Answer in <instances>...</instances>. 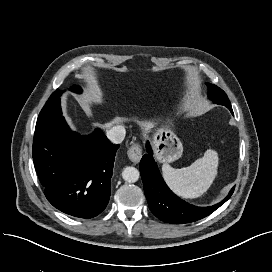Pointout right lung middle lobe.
Listing matches in <instances>:
<instances>
[{
    "mask_svg": "<svg viewBox=\"0 0 272 272\" xmlns=\"http://www.w3.org/2000/svg\"><path fill=\"white\" fill-rule=\"evenodd\" d=\"M70 90L77 93L81 92V88L76 86H73ZM60 117H62V111L60 106V91L56 90L52 93L45 106L42 108L38 116L37 123L52 119H58Z\"/></svg>",
    "mask_w": 272,
    "mask_h": 272,
    "instance_id": "1",
    "label": "right lung middle lobe"
}]
</instances>
